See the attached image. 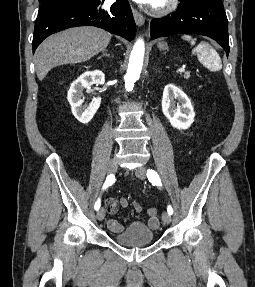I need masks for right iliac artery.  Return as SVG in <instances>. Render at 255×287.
I'll use <instances>...</instances> for the list:
<instances>
[{
  "label": "right iliac artery",
  "instance_id": "obj_1",
  "mask_svg": "<svg viewBox=\"0 0 255 287\" xmlns=\"http://www.w3.org/2000/svg\"><path fill=\"white\" fill-rule=\"evenodd\" d=\"M115 182V176L113 174H110L107 176L106 181L102 187L103 190H105L107 187L111 186ZM101 202L100 198L95 203V210H98L100 208Z\"/></svg>",
  "mask_w": 255,
  "mask_h": 287
}]
</instances>
